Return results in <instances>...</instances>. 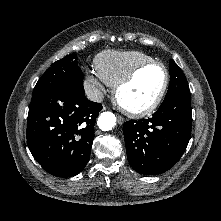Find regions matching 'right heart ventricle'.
<instances>
[{"label":"right heart ventricle","mask_w":221,"mask_h":221,"mask_svg":"<svg viewBox=\"0 0 221 221\" xmlns=\"http://www.w3.org/2000/svg\"><path fill=\"white\" fill-rule=\"evenodd\" d=\"M150 60L153 58L141 51L107 50L95 58V71L106 84L115 86L134 67Z\"/></svg>","instance_id":"e07e8e85"}]
</instances>
